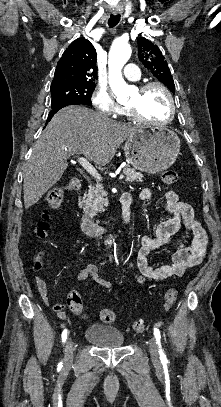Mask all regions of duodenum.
I'll return each mask as SVG.
<instances>
[{
  "label": "duodenum",
  "instance_id": "obj_1",
  "mask_svg": "<svg viewBox=\"0 0 221 407\" xmlns=\"http://www.w3.org/2000/svg\"><path fill=\"white\" fill-rule=\"evenodd\" d=\"M69 188L72 192H80L81 183L72 182L69 184ZM131 197L128 193L124 192L120 198V204L122 209L121 224L127 226L131 217ZM81 225L84 232L90 236H98L106 231L107 227L103 224H99L92 220L88 215L83 214L81 216Z\"/></svg>",
  "mask_w": 221,
  "mask_h": 407
}]
</instances>
